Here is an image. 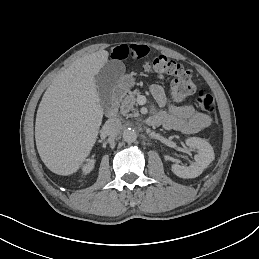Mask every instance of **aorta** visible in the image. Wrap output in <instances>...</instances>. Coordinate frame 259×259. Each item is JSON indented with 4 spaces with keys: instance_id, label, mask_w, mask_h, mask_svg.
I'll return each mask as SVG.
<instances>
[{
    "instance_id": "obj_1",
    "label": "aorta",
    "mask_w": 259,
    "mask_h": 259,
    "mask_svg": "<svg viewBox=\"0 0 259 259\" xmlns=\"http://www.w3.org/2000/svg\"><path fill=\"white\" fill-rule=\"evenodd\" d=\"M123 139L127 143H133L137 139V132L132 128H127L123 131Z\"/></svg>"
}]
</instances>
